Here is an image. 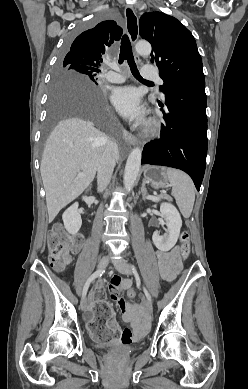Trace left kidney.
I'll list each match as a JSON object with an SVG mask.
<instances>
[{"label": "left kidney", "mask_w": 248, "mask_h": 389, "mask_svg": "<svg viewBox=\"0 0 248 389\" xmlns=\"http://www.w3.org/2000/svg\"><path fill=\"white\" fill-rule=\"evenodd\" d=\"M161 216L166 221L167 229L164 235L154 232L152 240L154 245L161 251H169L176 244L180 229L182 226V219L178 210L170 203H162L160 206Z\"/></svg>", "instance_id": "obj_1"}]
</instances>
